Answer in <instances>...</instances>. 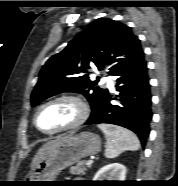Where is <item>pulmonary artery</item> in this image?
Wrapping results in <instances>:
<instances>
[{
    "instance_id": "obj_1",
    "label": "pulmonary artery",
    "mask_w": 178,
    "mask_h": 186,
    "mask_svg": "<svg viewBox=\"0 0 178 186\" xmlns=\"http://www.w3.org/2000/svg\"><path fill=\"white\" fill-rule=\"evenodd\" d=\"M108 86H109V88H113V86H114V84H113V82L112 81H108Z\"/></svg>"
}]
</instances>
